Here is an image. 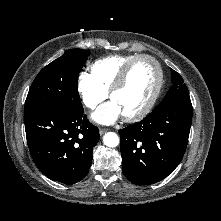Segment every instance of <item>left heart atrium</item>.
I'll use <instances>...</instances> for the list:
<instances>
[{
    "label": "left heart atrium",
    "mask_w": 221,
    "mask_h": 221,
    "mask_svg": "<svg viewBox=\"0 0 221 221\" xmlns=\"http://www.w3.org/2000/svg\"><path fill=\"white\" fill-rule=\"evenodd\" d=\"M122 116L121 109L113 100L102 105L93 115L92 118L99 124L110 125L116 122Z\"/></svg>",
    "instance_id": "obj_1"
}]
</instances>
